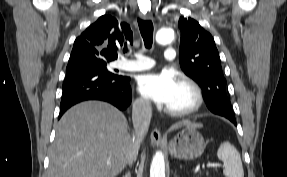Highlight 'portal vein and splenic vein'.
Returning <instances> with one entry per match:
<instances>
[{
  "instance_id": "portal-vein-and-splenic-vein-1",
  "label": "portal vein and splenic vein",
  "mask_w": 287,
  "mask_h": 177,
  "mask_svg": "<svg viewBox=\"0 0 287 177\" xmlns=\"http://www.w3.org/2000/svg\"><path fill=\"white\" fill-rule=\"evenodd\" d=\"M110 163H111L110 161H107V164H110ZM218 167H220L219 164H212V163H208V164H205L202 166L203 169H205V168H215L216 169Z\"/></svg>"
}]
</instances>
